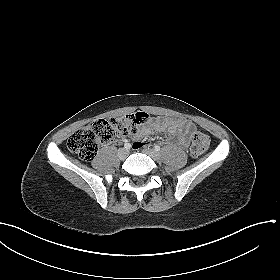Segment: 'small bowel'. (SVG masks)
Returning <instances> with one entry per match:
<instances>
[{"mask_svg": "<svg viewBox=\"0 0 280 280\" xmlns=\"http://www.w3.org/2000/svg\"><path fill=\"white\" fill-rule=\"evenodd\" d=\"M195 130L194 124L182 118H155L149 122L148 125L137 130L133 137L136 140H140L145 136L155 133H165L167 135L179 134V143L186 145L188 136ZM136 145H140L141 142H135ZM140 146L139 148H141Z\"/></svg>", "mask_w": 280, "mask_h": 280, "instance_id": "small-bowel-1", "label": "small bowel"}]
</instances>
